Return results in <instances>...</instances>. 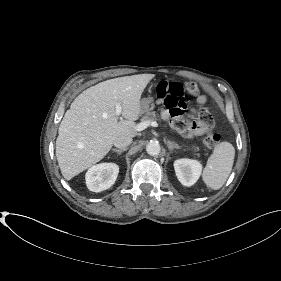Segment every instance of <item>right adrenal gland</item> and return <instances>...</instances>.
I'll return each mask as SVG.
<instances>
[{"label": "right adrenal gland", "instance_id": "right-adrenal-gland-1", "mask_svg": "<svg viewBox=\"0 0 281 281\" xmlns=\"http://www.w3.org/2000/svg\"><path fill=\"white\" fill-rule=\"evenodd\" d=\"M125 150H126L125 148H123V149H112V152H115L118 155H121V153L124 152Z\"/></svg>", "mask_w": 281, "mask_h": 281}]
</instances>
